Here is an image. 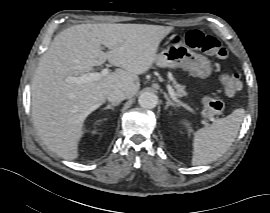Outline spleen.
I'll use <instances>...</instances> for the list:
<instances>
[{
	"label": "spleen",
	"instance_id": "spleen-1",
	"mask_svg": "<svg viewBox=\"0 0 270 213\" xmlns=\"http://www.w3.org/2000/svg\"><path fill=\"white\" fill-rule=\"evenodd\" d=\"M244 109L215 120L194 133L192 165H204L221 157L234 142L243 121Z\"/></svg>",
	"mask_w": 270,
	"mask_h": 213
}]
</instances>
